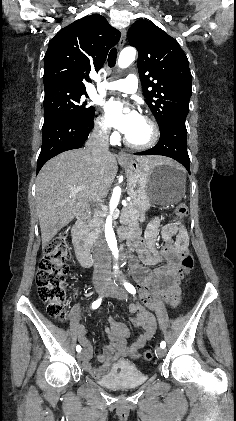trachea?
Here are the masks:
<instances>
[{"instance_id":"obj_1","label":"trachea","mask_w":236,"mask_h":421,"mask_svg":"<svg viewBox=\"0 0 236 421\" xmlns=\"http://www.w3.org/2000/svg\"><path fill=\"white\" fill-rule=\"evenodd\" d=\"M117 60V48H112L108 55V66L113 68Z\"/></svg>"}]
</instances>
